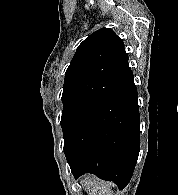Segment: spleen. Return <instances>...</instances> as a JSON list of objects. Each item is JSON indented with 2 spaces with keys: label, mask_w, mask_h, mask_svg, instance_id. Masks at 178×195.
Wrapping results in <instances>:
<instances>
[{
  "label": "spleen",
  "mask_w": 178,
  "mask_h": 195,
  "mask_svg": "<svg viewBox=\"0 0 178 195\" xmlns=\"http://www.w3.org/2000/svg\"><path fill=\"white\" fill-rule=\"evenodd\" d=\"M83 184L90 195H114L110 183L103 182L94 176L86 177Z\"/></svg>",
  "instance_id": "spleen-1"
}]
</instances>
